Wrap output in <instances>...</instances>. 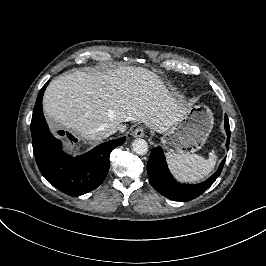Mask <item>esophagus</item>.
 <instances>
[{
	"label": "esophagus",
	"instance_id": "esophagus-1",
	"mask_svg": "<svg viewBox=\"0 0 266 266\" xmlns=\"http://www.w3.org/2000/svg\"><path fill=\"white\" fill-rule=\"evenodd\" d=\"M144 134H145V131H144V129H143L142 127H139V128L135 129V130L132 132V135H133V137H135V138H141V137L144 136Z\"/></svg>",
	"mask_w": 266,
	"mask_h": 266
}]
</instances>
